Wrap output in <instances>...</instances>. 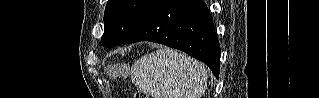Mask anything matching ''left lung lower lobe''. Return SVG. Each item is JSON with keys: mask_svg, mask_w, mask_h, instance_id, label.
I'll return each mask as SVG.
<instances>
[{"mask_svg": "<svg viewBox=\"0 0 319 98\" xmlns=\"http://www.w3.org/2000/svg\"><path fill=\"white\" fill-rule=\"evenodd\" d=\"M144 40L182 50L206 63L219 77L220 46L213 19L202 0H157L126 43Z\"/></svg>", "mask_w": 319, "mask_h": 98, "instance_id": "1", "label": "left lung lower lobe"}]
</instances>
